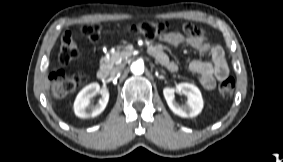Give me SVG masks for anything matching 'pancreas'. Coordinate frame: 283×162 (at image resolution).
Here are the masks:
<instances>
[{
	"mask_svg": "<svg viewBox=\"0 0 283 162\" xmlns=\"http://www.w3.org/2000/svg\"><path fill=\"white\" fill-rule=\"evenodd\" d=\"M128 55L126 51H115L101 58L100 65L111 70L114 66L120 65L121 61Z\"/></svg>",
	"mask_w": 283,
	"mask_h": 162,
	"instance_id": "cf45deb5",
	"label": "pancreas"
}]
</instances>
